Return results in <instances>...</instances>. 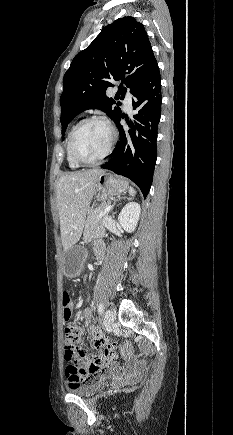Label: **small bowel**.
<instances>
[{
	"label": "small bowel",
	"instance_id": "c3829d8e",
	"mask_svg": "<svg viewBox=\"0 0 233 435\" xmlns=\"http://www.w3.org/2000/svg\"><path fill=\"white\" fill-rule=\"evenodd\" d=\"M94 253L96 256V260L98 262H101L103 259L104 254V245L101 242H97L94 246ZM73 309V304H72ZM93 312L92 310H87L85 314L83 315L82 319L85 320L88 317H92ZM65 321L67 319L64 318ZM88 333L91 338V342L93 346H103L108 343L107 338L104 336L102 330L98 326H91L88 327ZM82 334H80V337ZM80 362L81 365L78 367L70 366L68 365L65 371L66 379L69 383L78 385L83 380H90L92 377H99V376H110L114 373H122L126 372L128 374H137L141 371V366H139L134 360H133V353L127 352L125 354L126 363L125 365L120 364L116 360V356L106 355L102 356L101 360L103 362L102 367L100 370L96 373L89 374L87 373V369L92 363L93 356H90L86 353L84 349H80Z\"/></svg>",
	"mask_w": 233,
	"mask_h": 435
}]
</instances>
